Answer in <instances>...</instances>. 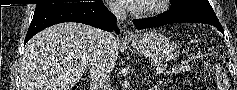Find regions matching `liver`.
Masks as SVG:
<instances>
[{
    "label": "liver",
    "mask_w": 237,
    "mask_h": 90,
    "mask_svg": "<svg viewBox=\"0 0 237 90\" xmlns=\"http://www.w3.org/2000/svg\"><path fill=\"white\" fill-rule=\"evenodd\" d=\"M101 30L85 24H56L33 36L20 60L21 90H72L96 54ZM118 54V50H117Z\"/></svg>",
    "instance_id": "liver-1"
}]
</instances>
